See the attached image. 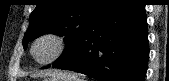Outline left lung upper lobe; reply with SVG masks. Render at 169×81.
<instances>
[{
    "label": "left lung upper lobe",
    "instance_id": "1",
    "mask_svg": "<svg viewBox=\"0 0 169 81\" xmlns=\"http://www.w3.org/2000/svg\"><path fill=\"white\" fill-rule=\"evenodd\" d=\"M112 0H39L29 17L23 46L47 33L65 36L66 48L53 67L66 62L89 24Z\"/></svg>",
    "mask_w": 169,
    "mask_h": 81
}]
</instances>
